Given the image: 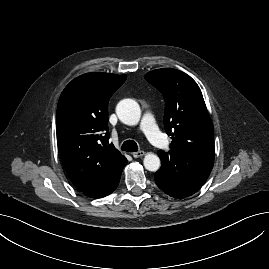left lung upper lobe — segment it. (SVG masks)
Masks as SVG:
<instances>
[{
  "mask_svg": "<svg viewBox=\"0 0 269 269\" xmlns=\"http://www.w3.org/2000/svg\"><path fill=\"white\" fill-rule=\"evenodd\" d=\"M145 79L164 96V128L172 136L171 150L214 161V129L197 83L172 68L148 72Z\"/></svg>",
  "mask_w": 269,
  "mask_h": 269,
  "instance_id": "1",
  "label": "left lung upper lobe"
}]
</instances>
